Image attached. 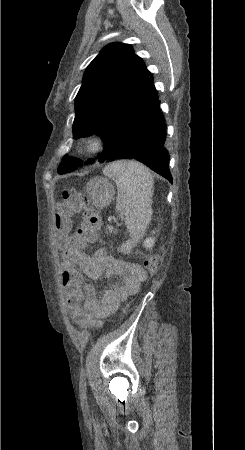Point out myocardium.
Returning <instances> with one entry per match:
<instances>
[{
    "label": "myocardium",
    "mask_w": 245,
    "mask_h": 450,
    "mask_svg": "<svg viewBox=\"0 0 245 450\" xmlns=\"http://www.w3.org/2000/svg\"><path fill=\"white\" fill-rule=\"evenodd\" d=\"M105 145V140L101 136H93L85 142L83 151L88 155H97L104 150Z\"/></svg>",
    "instance_id": "myocardium-1"
}]
</instances>
